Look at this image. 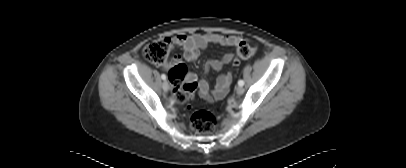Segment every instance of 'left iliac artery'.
Here are the masks:
<instances>
[{"label":"left iliac artery","mask_w":406,"mask_h":168,"mask_svg":"<svg viewBox=\"0 0 406 168\" xmlns=\"http://www.w3.org/2000/svg\"><path fill=\"white\" fill-rule=\"evenodd\" d=\"M239 86H243L244 85V81L243 80H239L238 81Z\"/></svg>","instance_id":"44dca946"}]
</instances>
